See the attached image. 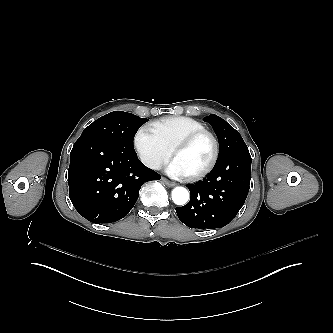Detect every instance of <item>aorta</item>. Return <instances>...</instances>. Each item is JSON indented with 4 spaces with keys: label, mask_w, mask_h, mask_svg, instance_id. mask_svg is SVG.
Wrapping results in <instances>:
<instances>
[{
    "label": "aorta",
    "mask_w": 333,
    "mask_h": 333,
    "mask_svg": "<svg viewBox=\"0 0 333 333\" xmlns=\"http://www.w3.org/2000/svg\"><path fill=\"white\" fill-rule=\"evenodd\" d=\"M172 196V201L176 204V205H185L188 201H189V192L186 188L182 187V186H177L172 190L171 193Z\"/></svg>",
    "instance_id": "aorta-1"
}]
</instances>
